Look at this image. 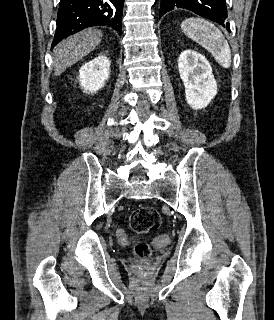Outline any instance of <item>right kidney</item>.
I'll use <instances>...</instances> for the list:
<instances>
[{
  "label": "right kidney",
  "instance_id": "1",
  "mask_svg": "<svg viewBox=\"0 0 274 320\" xmlns=\"http://www.w3.org/2000/svg\"><path fill=\"white\" fill-rule=\"evenodd\" d=\"M110 60L104 54H99L91 62L84 64L79 70V82L84 94H95L105 86L110 76Z\"/></svg>",
  "mask_w": 274,
  "mask_h": 320
}]
</instances>
